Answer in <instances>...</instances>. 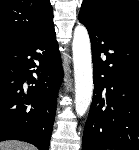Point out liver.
<instances>
[{"label": "liver", "instance_id": "obj_1", "mask_svg": "<svg viewBox=\"0 0 139 150\" xmlns=\"http://www.w3.org/2000/svg\"><path fill=\"white\" fill-rule=\"evenodd\" d=\"M0 150H34V147L18 141H7L0 143Z\"/></svg>", "mask_w": 139, "mask_h": 150}]
</instances>
